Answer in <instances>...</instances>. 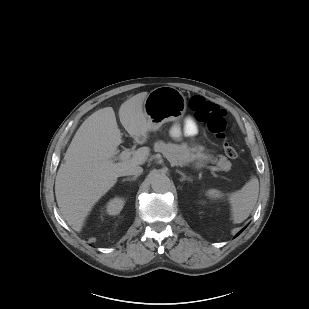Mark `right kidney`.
Masks as SVG:
<instances>
[{"mask_svg":"<svg viewBox=\"0 0 309 309\" xmlns=\"http://www.w3.org/2000/svg\"><path fill=\"white\" fill-rule=\"evenodd\" d=\"M124 206V200L121 198H114L106 205V213L109 215H117L120 213Z\"/></svg>","mask_w":309,"mask_h":309,"instance_id":"ca27d5eb","label":"right kidney"}]
</instances>
